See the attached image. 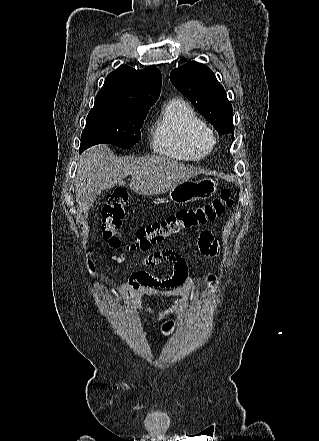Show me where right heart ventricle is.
I'll return each mask as SVG.
<instances>
[{
	"label": "right heart ventricle",
	"mask_w": 319,
	"mask_h": 441,
	"mask_svg": "<svg viewBox=\"0 0 319 441\" xmlns=\"http://www.w3.org/2000/svg\"><path fill=\"white\" fill-rule=\"evenodd\" d=\"M151 139L157 153L191 161L206 157L215 144L207 123L181 99L164 106L153 123Z\"/></svg>",
	"instance_id": "e07e8e85"
}]
</instances>
